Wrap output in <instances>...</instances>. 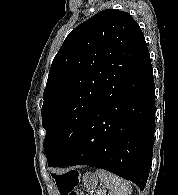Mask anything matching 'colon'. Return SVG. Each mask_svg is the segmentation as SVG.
Returning a JSON list of instances; mask_svg holds the SVG:
<instances>
[{"label":"colon","instance_id":"obj_1","mask_svg":"<svg viewBox=\"0 0 178 195\" xmlns=\"http://www.w3.org/2000/svg\"><path fill=\"white\" fill-rule=\"evenodd\" d=\"M79 180V174L76 171L66 172L65 175L60 179L58 188L62 195H79L76 187Z\"/></svg>","mask_w":178,"mask_h":195}]
</instances>
